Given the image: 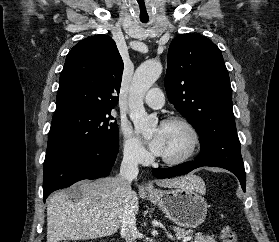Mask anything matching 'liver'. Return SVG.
I'll return each mask as SVG.
<instances>
[{
	"instance_id": "1",
	"label": "liver",
	"mask_w": 279,
	"mask_h": 242,
	"mask_svg": "<svg viewBox=\"0 0 279 242\" xmlns=\"http://www.w3.org/2000/svg\"><path fill=\"white\" fill-rule=\"evenodd\" d=\"M158 186L187 187L205 193L204 182L193 175L155 181ZM74 191H59L47 201V242L88 240L115 234L121 224L123 199L120 176L82 181ZM131 206L139 211L138 196L133 191Z\"/></svg>"
}]
</instances>
